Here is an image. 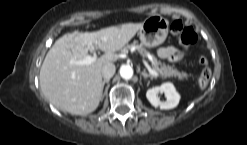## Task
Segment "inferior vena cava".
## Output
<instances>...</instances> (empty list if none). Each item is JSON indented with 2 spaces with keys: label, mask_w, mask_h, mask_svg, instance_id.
Instances as JSON below:
<instances>
[{
  "label": "inferior vena cava",
  "mask_w": 247,
  "mask_h": 145,
  "mask_svg": "<svg viewBox=\"0 0 247 145\" xmlns=\"http://www.w3.org/2000/svg\"><path fill=\"white\" fill-rule=\"evenodd\" d=\"M116 71V67L113 63L109 62L102 67V76L104 79H110Z\"/></svg>",
  "instance_id": "inferior-vena-cava-1"
}]
</instances>
